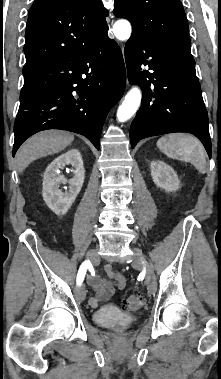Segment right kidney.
Masks as SVG:
<instances>
[{"mask_svg":"<svg viewBox=\"0 0 221 379\" xmlns=\"http://www.w3.org/2000/svg\"><path fill=\"white\" fill-rule=\"evenodd\" d=\"M72 166L73 177L67 180L60 170ZM84 166L79 150L71 149L55 158L46 168L43 176V199L57 215H64L74 203L84 183ZM69 184L68 190L59 189L61 184Z\"/></svg>","mask_w":221,"mask_h":379,"instance_id":"1","label":"right kidney"}]
</instances>
